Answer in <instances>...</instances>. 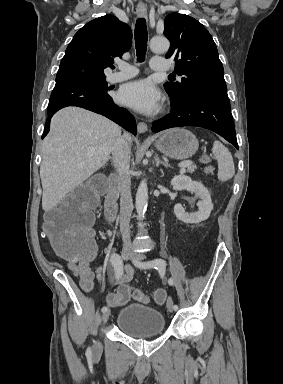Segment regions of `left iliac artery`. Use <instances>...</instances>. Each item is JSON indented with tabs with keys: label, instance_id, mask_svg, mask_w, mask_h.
<instances>
[{
	"label": "left iliac artery",
	"instance_id": "obj_1",
	"mask_svg": "<svg viewBox=\"0 0 283 384\" xmlns=\"http://www.w3.org/2000/svg\"><path fill=\"white\" fill-rule=\"evenodd\" d=\"M139 267L140 268H155L160 273H164L165 272V268H166V262L163 259H154V260H151V261L140 263ZM168 283H169V285H173V283H174L173 279L170 278L168 280ZM173 308H174L175 311L179 309L178 305H174Z\"/></svg>",
	"mask_w": 283,
	"mask_h": 384
}]
</instances>
